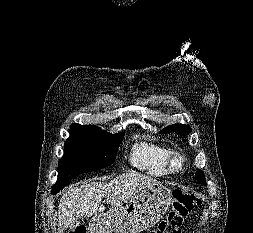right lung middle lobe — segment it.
I'll use <instances>...</instances> for the list:
<instances>
[{
	"label": "right lung middle lobe",
	"instance_id": "right-lung-middle-lobe-1",
	"mask_svg": "<svg viewBox=\"0 0 253 233\" xmlns=\"http://www.w3.org/2000/svg\"><path fill=\"white\" fill-rule=\"evenodd\" d=\"M58 163L57 182L71 175L90 172L111 165L124 133L110 134L94 125L73 124Z\"/></svg>",
	"mask_w": 253,
	"mask_h": 233
}]
</instances>
